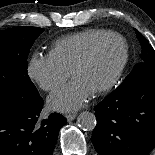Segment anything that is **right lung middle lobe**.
<instances>
[{
  "label": "right lung middle lobe",
  "instance_id": "right-lung-middle-lobe-1",
  "mask_svg": "<svg viewBox=\"0 0 155 155\" xmlns=\"http://www.w3.org/2000/svg\"><path fill=\"white\" fill-rule=\"evenodd\" d=\"M37 27H14L0 31V105L27 107L39 95L27 74V56Z\"/></svg>",
  "mask_w": 155,
  "mask_h": 155
}]
</instances>
